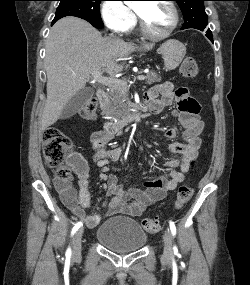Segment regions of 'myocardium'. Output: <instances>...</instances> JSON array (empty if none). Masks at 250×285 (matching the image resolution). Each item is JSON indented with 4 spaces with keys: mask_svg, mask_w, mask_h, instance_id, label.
<instances>
[{
    "mask_svg": "<svg viewBox=\"0 0 250 285\" xmlns=\"http://www.w3.org/2000/svg\"><path fill=\"white\" fill-rule=\"evenodd\" d=\"M162 3L166 4L171 9L172 14H173L172 25L163 34H153V33H151L147 29V27H146V25L144 23V20L141 17V15L136 11L140 32H141V34L144 37H146V38H148L150 40L161 41V40H165V39L169 38L173 34V32L177 29V27L179 25L180 15H179V11H178V8L175 5V3L172 2L171 0H164V2H162Z\"/></svg>",
    "mask_w": 250,
    "mask_h": 285,
    "instance_id": "1",
    "label": "myocardium"
}]
</instances>
